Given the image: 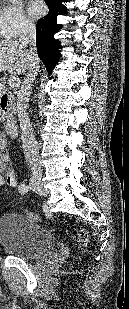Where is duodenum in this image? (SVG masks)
<instances>
[{"label":"duodenum","instance_id":"obj_1","mask_svg":"<svg viewBox=\"0 0 129 309\" xmlns=\"http://www.w3.org/2000/svg\"><path fill=\"white\" fill-rule=\"evenodd\" d=\"M1 110L6 115L4 121L5 132L9 137H15L18 132V123L16 118L10 113L11 105L7 102L2 101L0 104Z\"/></svg>","mask_w":129,"mask_h":309}]
</instances>
